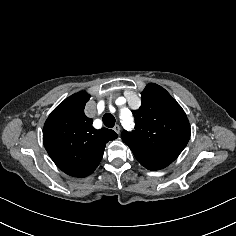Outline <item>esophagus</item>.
Here are the masks:
<instances>
[{
  "mask_svg": "<svg viewBox=\"0 0 236 236\" xmlns=\"http://www.w3.org/2000/svg\"><path fill=\"white\" fill-rule=\"evenodd\" d=\"M113 130H114L117 134H119V133H120V127H119V125H115L114 128H113Z\"/></svg>",
  "mask_w": 236,
  "mask_h": 236,
  "instance_id": "1",
  "label": "esophagus"
}]
</instances>
